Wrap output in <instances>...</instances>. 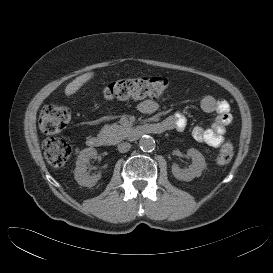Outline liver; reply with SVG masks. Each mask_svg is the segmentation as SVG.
<instances>
[{
	"label": "liver",
	"mask_w": 273,
	"mask_h": 273,
	"mask_svg": "<svg viewBox=\"0 0 273 273\" xmlns=\"http://www.w3.org/2000/svg\"><path fill=\"white\" fill-rule=\"evenodd\" d=\"M94 76V72H88L76 77L72 82H70L65 88L66 96H70L76 93L85 83H87Z\"/></svg>",
	"instance_id": "6515ba94"
}]
</instances>
